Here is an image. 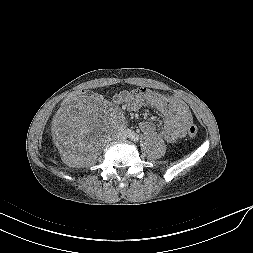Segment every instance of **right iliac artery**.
I'll use <instances>...</instances> for the list:
<instances>
[{"label": "right iliac artery", "instance_id": "obj_1", "mask_svg": "<svg viewBox=\"0 0 253 253\" xmlns=\"http://www.w3.org/2000/svg\"><path fill=\"white\" fill-rule=\"evenodd\" d=\"M130 134H131V131H130V130H126V131H125V135H126V136H130Z\"/></svg>", "mask_w": 253, "mask_h": 253}]
</instances>
